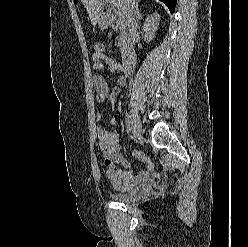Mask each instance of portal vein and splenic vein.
<instances>
[{
    "label": "portal vein and splenic vein",
    "mask_w": 248,
    "mask_h": 247,
    "mask_svg": "<svg viewBox=\"0 0 248 247\" xmlns=\"http://www.w3.org/2000/svg\"><path fill=\"white\" fill-rule=\"evenodd\" d=\"M103 1H105V0H103ZM114 11L117 13V10L116 9Z\"/></svg>",
    "instance_id": "obj_1"
}]
</instances>
